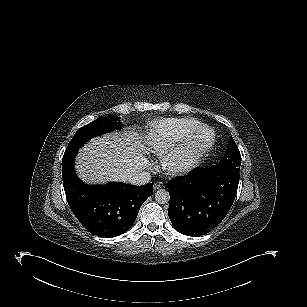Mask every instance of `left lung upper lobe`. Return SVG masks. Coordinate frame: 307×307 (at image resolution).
Listing matches in <instances>:
<instances>
[{
    "instance_id": "left-lung-upper-lobe-1",
    "label": "left lung upper lobe",
    "mask_w": 307,
    "mask_h": 307,
    "mask_svg": "<svg viewBox=\"0 0 307 307\" xmlns=\"http://www.w3.org/2000/svg\"><path fill=\"white\" fill-rule=\"evenodd\" d=\"M240 165H241V155L234 139L231 137L223 159L217 165H214L212 168L216 170L223 168H230L236 172H239Z\"/></svg>"
}]
</instances>
